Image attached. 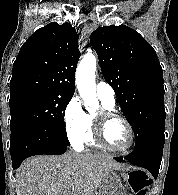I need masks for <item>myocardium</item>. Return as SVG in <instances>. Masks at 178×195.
Returning <instances> with one entry per match:
<instances>
[{
  "instance_id": "1",
  "label": "myocardium",
  "mask_w": 178,
  "mask_h": 195,
  "mask_svg": "<svg viewBox=\"0 0 178 195\" xmlns=\"http://www.w3.org/2000/svg\"><path fill=\"white\" fill-rule=\"evenodd\" d=\"M113 120L121 121L127 128L130 135L129 145L125 148H114L110 146L105 139L106 125ZM94 123V139L97 144L111 152L126 153L129 152L135 144V132L129 121L118 113L110 109H101L100 112L93 118Z\"/></svg>"
}]
</instances>
